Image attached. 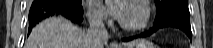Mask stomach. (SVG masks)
I'll use <instances>...</instances> for the list:
<instances>
[{
    "label": "stomach",
    "instance_id": "stomach-1",
    "mask_svg": "<svg viewBox=\"0 0 213 48\" xmlns=\"http://www.w3.org/2000/svg\"><path fill=\"white\" fill-rule=\"evenodd\" d=\"M163 32H165V30ZM131 48H159V47H157V45H155L153 43L140 42Z\"/></svg>",
    "mask_w": 213,
    "mask_h": 48
}]
</instances>
